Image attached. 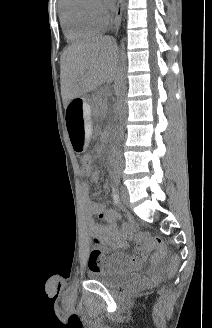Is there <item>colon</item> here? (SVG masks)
<instances>
[{
  "instance_id": "5ec220e1",
  "label": "colon",
  "mask_w": 212,
  "mask_h": 328,
  "mask_svg": "<svg viewBox=\"0 0 212 328\" xmlns=\"http://www.w3.org/2000/svg\"><path fill=\"white\" fill-rule=\"evenodd\" d=\"M79 168L80 170H92L93 169V157L90 153H81L79 157ZM130 239L136 242L142 249H153L155 252L152 255V262H158L166 258L167 247L164 241L160 237L151 236L146 232H135L132 231ZM102 255L98 249L91 252L89 257V264L94 265L97 262H102ZM179 266V259L176 256H171L166 262V270L169 274H173L177 271Z\"/></svg>"
}]
</instances>
